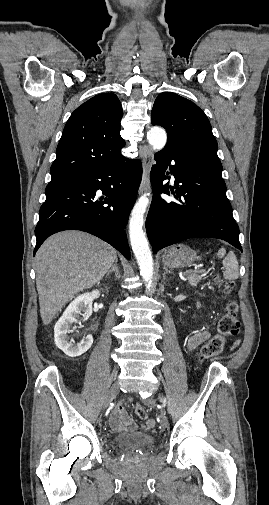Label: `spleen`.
Segmentation results:
<instances>
[{"instance_id": "obj_1", "label": "spleen", "mask_w": 269, "mask_h": 505, "mask_svg": "<svg viewBox=\"0 0 269 505\" xmlns=\"http://www.w3.org/2000/svg\"><path fill=\"white\" fill-rule=\"evenodd\" d=\"M218 258H223L222 264L225 268L223 276L226 280H236L239 277V265L234 252L230 251L226 255V249L221 247L217 252Z\"/></svg>"}]
</instances>
